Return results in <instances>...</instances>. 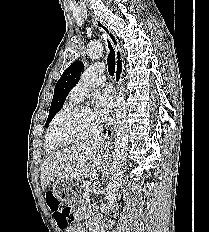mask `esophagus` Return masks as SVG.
<instances>
[{
  "instance_id": "obj_1",
  "label": "esophagus",
  "mask_w": 209,
  "mask_h": 232,
  "mask_svg": "<svg viewBox=\"0 0 209 232\" xmlns=\"http://www.w3.org/2000/svg\"><path fill=\"white\" fill-rule=\"evenodd\" d=\"M93 21L95 25L98 27V29L107 36V38L109 39V41L111 42L112 46L115 49L116 69H115L114 81H115L116 87L119 88L123 80L122 79L123 77V55L119 47L118 40L116 39L112 31L98 17L93 16ZM113 132H114V124H111L110 128L107 130L104 136L105 145H109L110 141L113 138Z\"/></svg>"
}]
</instances>
